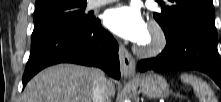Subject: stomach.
I'll use <instances>...</instances> for the list:
<instances>
[{
    "label": "stomach",
    "mask_w": 221,
    "mask_h": 102,
    "mask_svg": "<svg viewBox=\"0 0 221 102\" xmlns=\"http://www.w3.org/2000/svg\"><path fill=\"white\" fill-rule=\"evenodd\" d=\"M140 91L151 98L167 97L170 93L165 78L158 74H149L139 81Z\"/></svg>",
    "instance_id": "obj_1"
}]
</instances>
